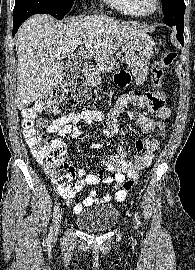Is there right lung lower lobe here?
Masks as SVG:
<instances>
[{
  "instance_id": "right-lung-lower-lobe-1",
  "label": "right lung lower lobe",
  "mask_w": 195,
  "mask_h": 270,
  "mask_svg": "<svg viewBox=\"0 0 195 270\" xmlns=\"http://www.w3.org/2000/svg\"><path fill=\"white\" fill-rule=\"evenodd\" d=\"M39 13L43 12L32 6H15L13 10V36L28 17Z\"/></svg>"
}]
</instances>
